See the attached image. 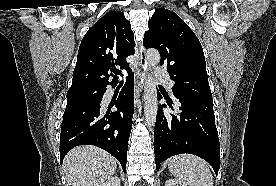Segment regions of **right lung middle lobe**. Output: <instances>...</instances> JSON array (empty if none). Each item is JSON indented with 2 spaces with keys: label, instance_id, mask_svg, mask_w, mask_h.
<instances>
[{
  "label": "right lung middle lobe",
  "instance_id": "1",
  "mask_svg": "<svg viewBox=\"0 0 276 186\" xmlns=\"http://www.w3.org/2000/svg\"><path fill=\"white\" fill-rule=\"evenodd\" d=\"M105 87L98 86H84L68 90L67 92V105L77 104L85 101L92 100L104 91Z\"/></svg>",
  "mask_w": 276,
  "mask_h": 186
}]
</instances>
